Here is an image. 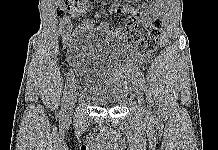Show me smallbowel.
Masks as SVG:
<instances>
[{
    "label": "small bowel",
    "instance_id": "obj_1",
    "mask_svg": "<svg viewBox=\"0 0 218 150\" xmlns=\"http://www.w3.org/2000/svg\"><path fill=\"white\" fill-rule=\"evenodd\" d=\"M111 13L116 14H127L126 27L125 30L121 27L114 28L111 24L107 22H102L96 25L93 19H85L79 26L72 30V18L79 17L84 14L91 3V0H79L75 5L74 9L71 12V15L62 19L59 25V36L62 42V45L65 48H68V60L73 62L77 57V49L73 47L75 39L84 34L85 32L95 29L112 36H115L119 39H123L125 33L129 29H137L138 23L144 27H149L152 23L158 18L161 9L163 0H146L143 4V9L139 10L131 5H127L123 8H119L118 0H112ZM96 18L101 16L100 13L94 15Z\"/></svg>",
    "mask_w": 218,
    "mask_h": 150
}]
</instances>
